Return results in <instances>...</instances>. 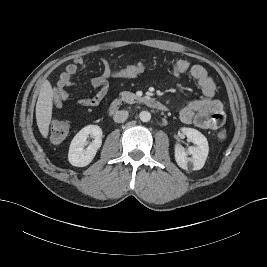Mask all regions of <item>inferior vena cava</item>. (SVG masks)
Wrapping results in <instances>:
<instances>
[{"label": "inferior vena cava", "instance_id": "obj_1", "mask_svg": "<svg viewBox=\"0 0 267 267\" xmlns=\"http://www.w3.org/2000/svg\"><path fill=\"white\" fill-rule=\"evenodd\" d=\"M128 111H125V110H120V111H117L113 117L114 121L117 122V123H122V122H125L128 118Z\"/></svg>", "mask_w": 267, "mask_h": 267}]
</instances>
